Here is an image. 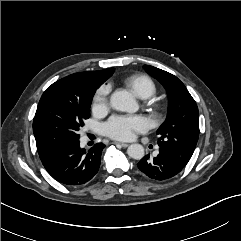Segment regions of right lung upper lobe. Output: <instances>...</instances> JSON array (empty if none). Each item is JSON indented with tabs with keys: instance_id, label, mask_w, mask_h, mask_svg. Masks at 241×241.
Here are the masks:
<instances>
[{
	"instance_id": "obj_1",
	"label": "right lung upper lobe",
	"mask_w": 241,
	"mask_h": 241,
	"mask_svg": "<svg viewBox=\"0 0 241 241\" xmlns=\"http://www.w3.org/2000/svg\"><path fill=\"white\" fill-rule=\"evenodd\" d=\"M114 72V68L100 71H87L71 74L62 78L43 93L37 110L48 100L53 97H62L65 99L82 100L88 94L96 91V89L104 83Z\"/></svg>"
}]
</instances>
